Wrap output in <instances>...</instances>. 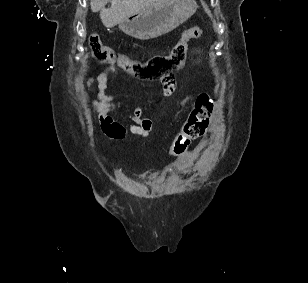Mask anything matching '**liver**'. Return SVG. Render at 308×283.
<instances>
[{"label":"liver","mask_w":308,"mask_h":283,"mask_svg":"<svg viewBox=\"0 0 308 283\" xmlns=\"http://www.w3.org/2000/svg\"><path fill=\"white\" fill-rule=\"evenodd\" d=\"M161 0H91L92 12H100V19L104 26L113 27L124 18L139 12L140 10L159 3ZM111 2L110 8L105 5Z\"/></svg>","instance_id":"liver-1"}]
</instances>
